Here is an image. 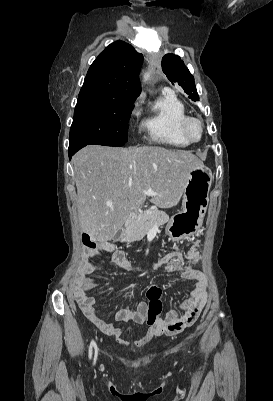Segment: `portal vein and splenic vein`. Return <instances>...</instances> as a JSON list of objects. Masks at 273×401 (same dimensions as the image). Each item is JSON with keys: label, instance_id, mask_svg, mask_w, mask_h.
I'll use <instances>...</instances> for the list:
<instances>
[{"label": "portal vein and splenic vein", "instance_id": "obj_1", "mask_svg": "<svg viewBox=\"0 0 273 401\" xmlns=\"http://www.w3.org/2000/svg\"><path fill=\"white\" fill-rule=\"evenodd\" d=\"M145 194H148V196H152V194H156L152 188H149V190H145ZM146 213H152V211H146Z\"/></svg>", "mask_w": 273, "mask_h": 401}]
</instances>
